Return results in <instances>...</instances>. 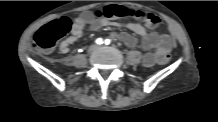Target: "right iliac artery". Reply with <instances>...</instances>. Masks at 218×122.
Segmentation results:
<instances>
[{
	"instance_id": "82829eb1",
	"label": "right iliac artery",
	"mask_w": 218,
	"mask_h": 122,
	"mask_svg": "<svg viewBox=\"0 0 218 122\" xmlns=\"http://www.w3.org/2000/svg\"><path fill=\"white\" fill-rule=\"evenodd\" d=\"M95 42H96V44L100 45V44L103 43V39L102 38H98V39H96Z\"/></svg>"
}]
</instances>
